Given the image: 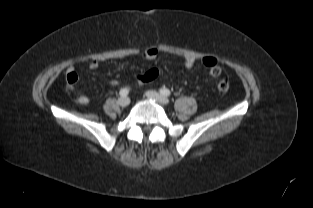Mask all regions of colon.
<instances>
[{
	"label": "colon",
	"instance_id": "1",
	"mask_svg": "<svg viewBox=\"0 0 313 208\" xmlns=\"http://www.w3.org/2000/svg\"><path fill=\"white\" fill-rule=\"evenodd\" d=\"M209 72L212 76H218L221 73V69L218 65L213 66L209 69ZM159 75V72L157 69H149L146 72L140 74L137 78L140 82L142 83H150L154 81ZM76 78L71 77L69 78V86L74 87L76 86ZM217 89L220 92H226L229 89V80L227 78H222L218 83H217Z\"/></svg>",
	"mask_w": 313,
	"mask_h": 208
}]
</instances>
